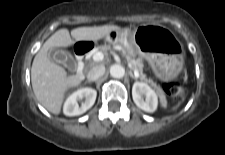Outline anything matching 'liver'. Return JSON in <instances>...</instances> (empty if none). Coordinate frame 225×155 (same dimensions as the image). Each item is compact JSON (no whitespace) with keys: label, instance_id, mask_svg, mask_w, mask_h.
Returning <instances> with one entry per match:
<instances>
[{"label":"liver","instance_id":"1","mask_svg":"<svg viewBox=\"0 0 225 155\" xmlns=\"http://www.w3.org/2000/svg\"><path fill=\"white\" fill-rule=\"evenodd\" d=\"M121 30L115 25L98 27H79L71 31L75 41L96 42L113 31ZM68 29L56 31L36 54L31 68V83L38 102L49 112L59 114L66 93L69 89L78 86L81 79L78 75L67 76L64 68L51 61L48 51L54 47H68L74 41Z\"/></svg>","mask_w":225,"mask_h":155}]
</instances>
